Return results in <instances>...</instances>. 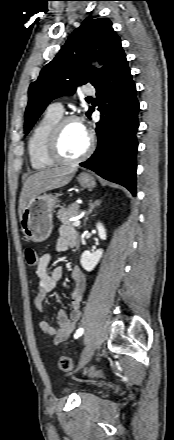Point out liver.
<instances>
[{"label": "liver", "instance_id": "obj_1", "mask_svg": "<svg viewBox=\"0 0 174 440\" xmlns=\"http://www.w3.org/2000/svg\"><path fill=\"white\" fill-rule=\"evenodd\" d=\"M73 172V169H46L28 177L23 185L19 198L18 212L20 219L24 209L30 201L41 193L67 185L72 179L71 174Z\"/></svg>", "mask_w": 174, "mask_h": 440}]
</instances>
